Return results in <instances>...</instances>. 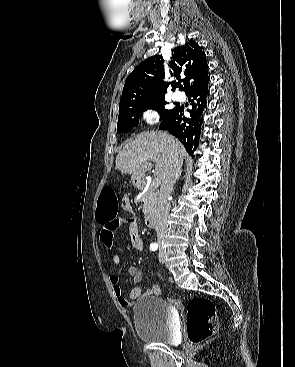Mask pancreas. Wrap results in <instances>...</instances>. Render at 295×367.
<instances>
[{
  "label": "pancreas",
  "mask_w": 295,
  "mask_h": 367,
  "mask_svg": "<svg viewBox=\"0 0 295 367\" xmlns=\"http://www.w3.org/2000/svg\"><path fill=\"white\" fill-rule=\"evenodd\" d=\"M140 201L143 202L144 215L153 213L157 207V187L151 184L140 197Z\"/></svg>",
  "instance_id": "pancreas-1"
}]
</instances>
